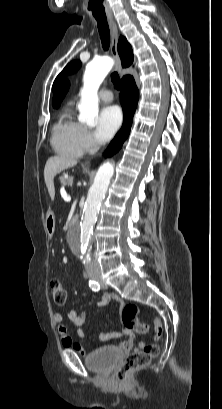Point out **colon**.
<instances>
[{
	"mask_svg": "<svg viewBox=\"0 0 222 409\" xmlns=\"http://www.w3.org/2000/svg\"><path fill=\"white\" fill-rule=\"evenodd\" d=\"M52 296L55 303L62 307L66 304L67 301V291L63 284L54 279L51 281L50 284ZM139 313V308L135 304H127L123 308L122 311V321L123 324L138 333H146L149 329V326L144 323H140L137 319V315ZM162 326L159 321L155 322V338L158 340L162 335ZM69 340L68 337L64 339V341ZM159 352V347L156 343H149L144 345L140 350L132 353L128 357H126L123 362L120 364L116 377L119 381L123 382L134 370L140 369L151 361L152 358L157 356Z\"/></svg>",
	"mask_w": 222,
	"mask_h": 409,
	"instance_id": "1",
	"label": "colon"
}]
</instances>
